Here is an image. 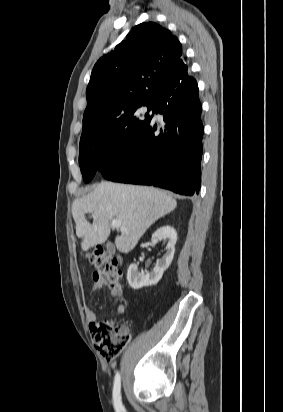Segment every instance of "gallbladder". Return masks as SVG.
Segmentation results:
<instances>
[{"instance_id":"gallbladder-1","label":"gallbladder","mask_w":283,"mask_h":412,"mask_svg":"<svg viewBox=\"0 0 283 412\" xmlns=\"http://www.w3.org/2000/svg\"><path fill=\"white\" fill-rule=\"evenodd\" d=\"M107 249H108L109 253H111V254L114 253V246H113L112 244H110V245L107 247Z\"/></svg>"}]
</instances>
